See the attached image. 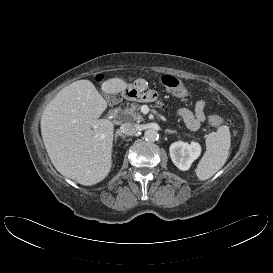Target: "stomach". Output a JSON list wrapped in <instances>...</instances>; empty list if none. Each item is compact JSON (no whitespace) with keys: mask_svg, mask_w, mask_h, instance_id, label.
<instances>
[{"mask_svg":"<svg viewBox=\"0 0 273 273\" xmlns=\"http://www.w3.org/2000/svg\"><path fill=\"white\" fill-rule=\"evenodd\" d=\"M147 86L139 88L137 85L128 86L122 91V96L128 100L140 101V102H150L156 99V93L152 90H148Z\"/></svg>","mask_w":273,"mask_h":273,"instance_id":"0dacf381","label":"stomach"}]
</instances>
